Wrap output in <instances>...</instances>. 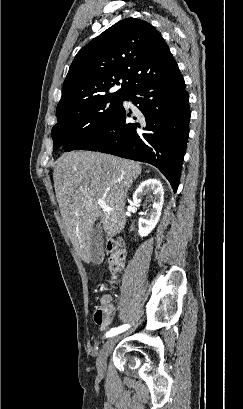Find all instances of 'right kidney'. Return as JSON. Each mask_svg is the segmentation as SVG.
Instances as JSON below:
<instances>
[{
	"label": "right kidney",
	"mask_w": 243,
	"mask_h": 409,
	"mask_svg": "<svg viewBox=\"0 0 243 409\" xmlns=\"http://www.w3.org/2000/svg\"><path fill=\"white\" fill-rule=\"evenodd\" d=\"M153 194L151 210L139 219L138 233L141 237L147 236L159 221L164 201V190L157 179H147L140 184L133 195L134 203H141L144 195Z\"/></svg>",
	"instance_id": "1"
}]
</instances>
